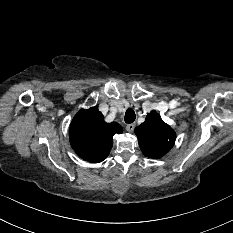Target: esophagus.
<instances>
[{
	"label": "esophagus",
	"instance_id": "esophagus-1",
	"mask_svg": "<svg viewBox=\"0 0 233 233\" xmlns=\"http://www.w3.org/2000/svg\"><path fill=\"white\" fill-rule=\"evenodd\" d=\"M134 128H135V124L134 123L127 124V126H126V130L128 132H133Z\"/></svg>",
	"mask_w": 233,
	"mask_h": 233
}]
</instances>
